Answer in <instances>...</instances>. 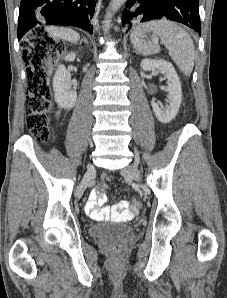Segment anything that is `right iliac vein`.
<instances>
[{"label": "right iliac vein", "instance_id": "63e3f726", "mask_svg": "<svg viewBox=\"0 0 227 298\" xmlns=\"http://www.w3.org/2000/svg\"><path fill=\"white\" fill-rule=\"evenodd\" d=\"M87 168H88L89 172H91L93 170V166L91 164H88Z\"/></svg>", "mask_w": 227, "mask_h": 298}]
</instances>
